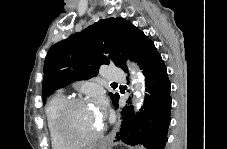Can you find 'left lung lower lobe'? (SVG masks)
<instances>
[{
  "mask_svg": "<svg viewBox=\"0 0 227 149\" xmlns=\"http://www.w3.org/2000/svg\"><path fill=\"white\" fill-rule=\"evenodd\" d=\"M127 58L143 69L146 91L144 105L135 115L133 107L121 108V127L116 139L129 145H142L147 149H163L167 141L170 123L171 97L167 69L154 43L139 29H134L129 43ZM125 72L127 67L122 68ZM119 94L113 100L119 108ZM128 103H131L130 99Z\"/></svg>",
  "mask_w": 227,
  "mask_h": 149,
  "instance_id": "0a47b994",
  "label": "left lung lower lobe"
}]
</instances>
